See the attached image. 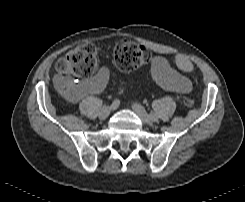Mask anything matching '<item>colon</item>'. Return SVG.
Segmentation results:
<instances>
[{
    "label": "colon",
    "instance_id": "1",
    "mask_svg": "<svg viewBox=\"0 0 245 202\" xmlns=\"http://www.w3.org/2000/svg\"><path fill=\"white\" fill-rule=\"evenodd\" d=\"M149 59L150 53L147 48L132 39H121L114 47L115 63L124 72L145 66ZM97 66L98 58L91 44L79 45L60 57L56 62V70L61 92L63 94L71 92L76 81L74 79L91 76ZM182 68L190 70L188 63H183ZM183 102L187 107L194 105L192 98H185Z\"/></svg>",
    "mask_w": 245,
    "mask_h": 202
}]
</instances>
